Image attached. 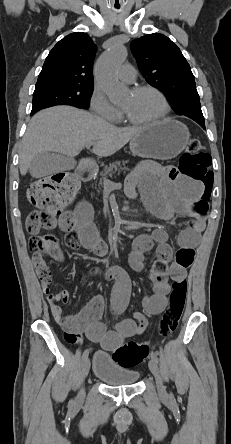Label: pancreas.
<instances>
[{"instance_id": "cf45deb5", "label": "pancreas", "mask_w": 231, "mask_h": 444, "mask_svg": "<svg viewBox=\"0 0 231 444\" xmlns=\"http://www.w3.org/2000/svg\"><path fill=\"white\" fill-rule=\"evenodd\" d=\"M125 163V161H115L109 164V166L105 167L104 170L101 172L102 177L100 179V182H102L104 178L112 177L117 172L120 173L122 170H124L126 168Z\"/></svg>"}]
</instances>
